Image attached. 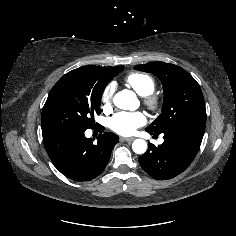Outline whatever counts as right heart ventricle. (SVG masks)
<instances>
[{
	"label": "right heart ventricle",
	"mask_w": 236,
	"mask_h": 236,
	"mask_svg": "<svg viewBox=\"0 0 236 236\" xmlns=\"http://www.w3.org/2000/svg\"><path fill=\"white\" fill-rule=\"evenodd\" d=\"M125 83L140 96L153 93L155 89L154 79L146 73H130L126 76Z\"/></svg>",
	"instance_id": "1"
}]
</instances>
